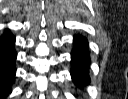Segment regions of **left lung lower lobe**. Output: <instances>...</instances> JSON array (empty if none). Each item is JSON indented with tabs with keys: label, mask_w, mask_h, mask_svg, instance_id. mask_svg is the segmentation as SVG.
Masks as SVG:
<instances>
[{
	"label": "left lung lower lobe",
	"mask_w": 128,
	"mask_h": 99,
	"mask_svg": "<svg viewBox=\"0 0 128 99\" xmlns=\"http://www.w3.org/2000/svg\"><path fill=\"white\" fill-rule=\"evenodd\" d=\"M90 63L88 41L85 37L76 35L73 38V51L71 54V78L78 86L90 83L88 64Z\"/></svg>",
	"instance_id": "0a47b994"
}]
</instances>
